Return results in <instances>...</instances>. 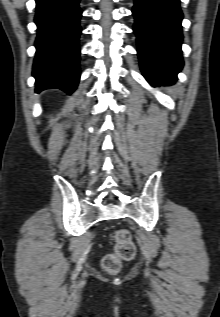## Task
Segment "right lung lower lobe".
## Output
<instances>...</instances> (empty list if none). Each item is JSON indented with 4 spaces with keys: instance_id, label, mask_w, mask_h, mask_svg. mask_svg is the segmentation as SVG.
<instances>
[{
    "instance_id": "obj_1",
    "label": "right lung lower lobe",
    "mask_w": 220,
    "mask_h": 317,
    "mask_svg": "<svg viewBox=\"0 0 220 317\" xmlns=\"http://www.w3.org/2000/svg\"><path fill=\"white\" fill-rule=\"evenodd\" d=\"M80 0H36L38 27L33 76L36 92L59 88L71 94L80 78Z\"/></svg>"
}]
</instances>
